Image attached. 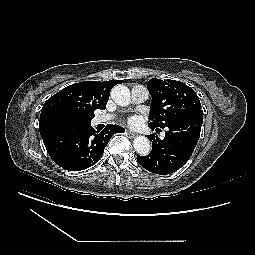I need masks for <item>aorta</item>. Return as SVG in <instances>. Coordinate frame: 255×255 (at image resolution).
<instances>
[{"mask_svg": "<svg viewBox=\"0 0 255 255\" xmlns=\"http://www.w3.org/2000/svg\"><path fill=\"white\" fill-rule=\"evenodd\" d=\"M111 98L119 106H127L130 104V91L124 85H116L111 91ZM133 147L139 155L146 156L150 153V141L145 136H137L133 140Z\"/></svg>", "mask_w": 255, "mask_h": 255, "instance_id": "aorta-1", "label": "aorta"}]
</instances>
